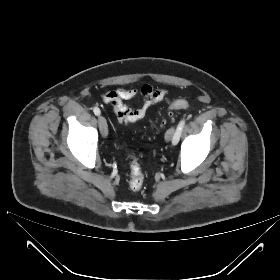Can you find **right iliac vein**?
Returning a JSON list of instances; mask_svg holds the SVG:
<instances>
[{
    "label": "right iliac vein",
    "mask_w": 280,
    "mask_h": 280,
    "mask_svg": "<svg viewBox=\"0 0 280 280\" xmlns=\"http://www.w3.org/2000/svg\"><path fill=\"white\" fill-rule=\"evenodd\" d=\"M98 124H99V129L102 137H106L108 134V126H107V121L103 116L98 117Z\"/></svg>",
    "instance_id": "63e3f726"
}]
</instances>
